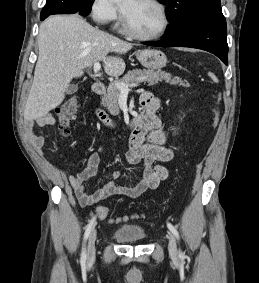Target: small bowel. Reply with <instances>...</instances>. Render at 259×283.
I'll return each mask as SVG.
<instances>
[{"label": "small bowel", "mask_w": 259, "mask_h": 283, "mask_svg": "<svg viewBox=\"0 0 259 283\" xmlns=\"http://www.w3.org/2000/svg\"><path fill=\"white\" fill-rule=\"evenodd\" d=\"M141 101H148L155 112L149 114L146 124L129 138L124 155L126 160L133 165L143 164L142 176L134 182L118 185L116 181L120 178V173L115 171L101 189L88 194L85 183L97 173L100 154L105 151V147L100 148L99 151L91 152L87 156L85 169L68 177V182L81 205L90 206L113 195L137 198L147 190L156 189L161 181L168 178L169 171L163 163L171 161L175 152L167 145L168 133L165 131L161 119L156 115V111L160 107V99L146 92L142 95ZM55 124L56 119L52 114L28 120L25 124V133L40 154L44 153L45 139L35 134L34 126L46 127ZM48 169L52 174H55L52 168Z\"/></svg>", "instance_id": "obj_1"}]
</instances>
